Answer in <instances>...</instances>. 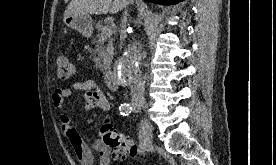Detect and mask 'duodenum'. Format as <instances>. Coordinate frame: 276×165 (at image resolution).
I'll use <instances>...</instances> for the list:
<instances>
[{
  "instance_id": "duodenum-1",
  "label": "duodenum",
  "mask_w": 276,
  "mask_h": 165,
  "mask_svg": "<svg viewBox=\"0 0 276 165\" xmlns=\"http://www.w3.org/2000/svg\"><path fill=\"white\" fill-rule=\"evenodd\" d=\"M105 82L111 90L119 88V77L113 69H108L104 73Z\"/></svg>"
}]
</instances>
